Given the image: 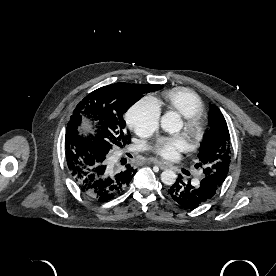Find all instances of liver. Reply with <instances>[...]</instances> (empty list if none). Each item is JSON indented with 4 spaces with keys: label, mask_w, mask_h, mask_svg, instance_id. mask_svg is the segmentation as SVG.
Wrapping results in <instances>:
<instances>
[{
    "label": "liver",
    "mask_w": 276,
    "mask_h": 276,
    "mask_svg": "<svg viewBox=\"0 0 276 276\" xmlns=\"http://www.w3.org/2000/svg\"><path fill=\"white\" fill-rule=\"evenodd\" d=\"M83 128H84V129H87V128H88V126H87L86 123L83 124Z\"/></svg>",
    "instance_id": "6515ba94"
}]
</instances>
